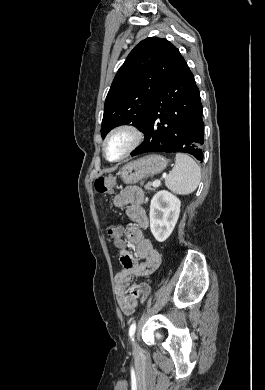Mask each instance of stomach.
Instances as JSON below:
<instances>
[{
    "label": "stomach",
    "mask_w": 265,
    "mask_h": 390,
    "mask_svg": "<svg viewBox=\"0 0 265 390\" xmlns=\"http://www.w3.org/2000/svg\"><path fill=\"white\" fill-rule=\"evenodd\" d=\"M167 166V160L161 155H148L132 161L119 171L118 175L126 184H134L146 177L161 173Z\"/></svg>",
    "instance_id": "1"
}]
</instances>
